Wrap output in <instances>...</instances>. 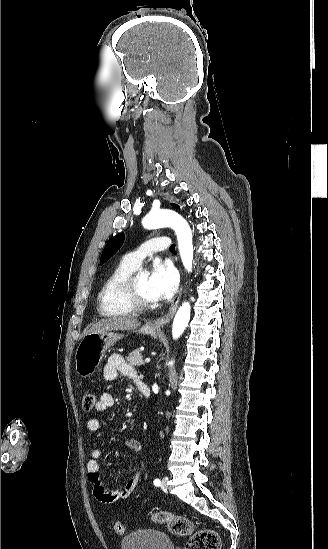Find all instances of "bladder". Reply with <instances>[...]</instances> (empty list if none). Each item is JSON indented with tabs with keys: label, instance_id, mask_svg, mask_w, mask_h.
Wrapping results in <instances>:
<instances>
[{
	"label": "bladder",
	"instance_id": "obj_1",
	"mask_svg": "<svg viewBox=\"0 0 328 549\" xmlns=\"http://www.w3.org/2000/svg\"><path fill=\"white\" fill-rule=\"evenodd\" d=\"M122 549H174L169 536L155 528H144L123 536Z\"/></svg>",
	"mask_w": 328,
	"mask_h": 549
}]
</instances>
